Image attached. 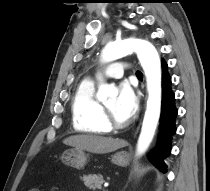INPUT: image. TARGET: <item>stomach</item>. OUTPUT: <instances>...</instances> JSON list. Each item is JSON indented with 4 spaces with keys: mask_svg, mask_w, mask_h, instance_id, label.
<instances>
[{
    "mask_svg": "<svg viewBox=\"0 0 210 191\" xmlns=\"http://www.w3.org/2000/svg\"><path fill=\"white\" fill-rule=\"evenodd\" d=\"M61 160L64 164L81 169L86 165L87 156L83 150L80 149H71L67 150L61 156ZM112 163L118 166H127L129 162L128 154L124 151L117 152L112 156Z\"/></svg>",
    "mask_w": 210,
    "mask_h": 191,
    "instance_id": "1",
    "label": "stomach"
}]
</instances>
